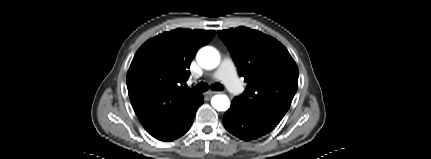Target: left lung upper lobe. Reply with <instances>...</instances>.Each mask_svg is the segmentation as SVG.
<instances>
[{"label": "left lung upper lobe", "instance_id": "1", "mask_svg": "<svg viewBox=\"0 0 431 159\" xmlns=\"http://www.w3.org/2000/svg\"><path fill=\"white\" fill-rule=\"evenodd\" d=\"M247 87L236 97L245 107L282 119L298 87V67L276 39L246 27L219 30Z\"/></svg>", "mask_w": 431, "mask_h": 159}]
</instances>
